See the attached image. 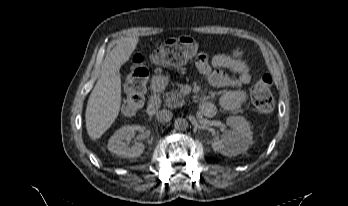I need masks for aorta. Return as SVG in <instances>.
I'll return each mask as SVG.
<instances>
[{"label":"aorta","mask_w":348,"mask_h":206,"mask_svg":"<svg viewBox=\"0 0 348 206\" xmlns=\"http://www.w3.org/2000/svg\"><path fill=\"white\" fill-rule=\"evenodd\" d=\"M174 126L178 130H185L188 127V122L185 118H177Z\"/></svg>","instance_id":"aorta-1"}]
</instances>
